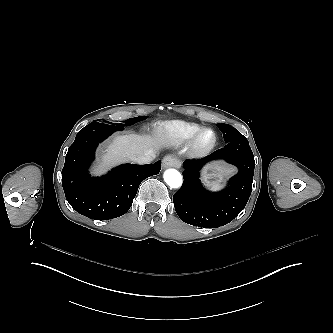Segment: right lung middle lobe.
Masks as SVG:
<instances>
[{
    "label": "right lung middle lobe",
    "instance_id": "right-lung-middle-lobe-1",
    "mask_svg": "<svg viewBox=\"0 0 333 333\" xmlns=\"http://www.w3.org/2000/svg\"><path fill=\"white\" fill-rule=\"evenodd\" d=\"M146 118H147L146 116H140V117L130 118V119H128L125 122V124H116V125H119V126H121L123 128L124 126H130V125H132L134 123H137L139 121H142V120H144ZM95 121L98 122V121H100V119L95 120Z\"/></svg>",
    "mask_w": 333,
    "mask_h": 333
}]
</instances>
